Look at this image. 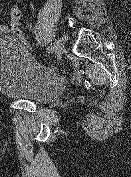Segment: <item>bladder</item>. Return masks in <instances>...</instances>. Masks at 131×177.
Wrapping results in <instances>:
<instances>
[{"mask_svg":"<svg viewBox=\"0 0 131 177\" xmlns=\"http://www.w3.org/2000/svg\"><path fill=\"white\" fill-rule=\"evenodd\" d=\"M65 90L55 68L34 59L15 37L0 39V93L34 103L49 102Z\"/></svg>","mask_w":131,"mask_h":177,"instance_id":"obj_1","label":"bladder"}]
</instances>
